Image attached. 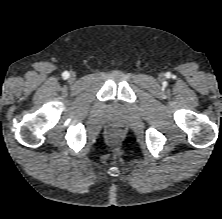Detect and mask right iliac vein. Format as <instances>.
Wrapping results in <instances>:
<instances>
[{
  "instance_id": "1",
  "label": "right iliac vein",
  "mask_w": 222,
  "mask_h": 219,
  "mask_svg": "<svg viewBox=\"0 0 222 219\" xmlns=\"http://www.w3.org/2000/svg\"><path fill=\"white\" fill-rule=\"evenodd\" d=\"M69 80H70L71 82H73V81L76 80V75H75V73H71V75L69 76Z\"/></svg>"
}]
</instances>
